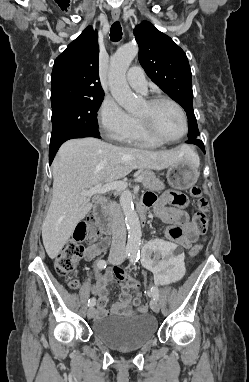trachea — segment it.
Segmentation results:
<instances>
[{"label":"trachea","mask_w":249,"mask_h":382,"mask_svg":"<svg viewBox=\"0 0 249 382\" xmlns=\"http://www.w3.org/2000/svg\"><path fill=\"white\" fill-rule=\"evenodd\" d=\"M110 38L113 42H118L122 39V28L118 21L114 22L111 26Z\"/></svg>","instance_id":"3493384b"}]
</instances>
